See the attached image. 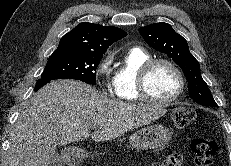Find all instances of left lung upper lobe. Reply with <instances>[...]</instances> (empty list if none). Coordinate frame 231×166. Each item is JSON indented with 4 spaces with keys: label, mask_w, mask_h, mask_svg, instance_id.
Here are the masks:
<instances>
[{
    "label": "left lung upper lobe",
    "mask_w": 231,
    "mask_h": 166,
    "mask_svg": "<svg viewBox=\"0 0 231 166\" xmlns=\"http://www.w3.org/2000/svg\"><path fill=\"white\" fill-rule=\"evenodd\" d=\"M139 32L148 45L167 54L182 68L188 81L189 95L195 102L218 107L201 76L198 61L189 51L187 41L170 24L154 23L141 27Z\"/></svg>",
    "instance_id": "1"
}]
</instances>
